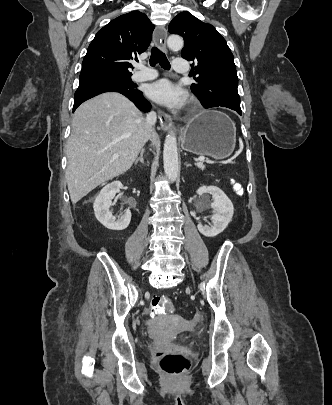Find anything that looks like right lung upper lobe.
Instances as JSON below:
<instances>
[{
	"instance_id": "cb5924a9",
	"label": "right lung upper lobe",
	"mask_w": 332,
	"mask_h": 405,
	"mask_svg": "<svg viewBox=\"0 0 332 405\" xmlns=\"http://www.w3.org/2000/svg\"><path fill=\"white\" fill-rule=\"evenodd\" d=\"M153 29L148 17L139 11L115 18L90 43L80 76L107 73L131 76L129 61L146 51Z\"/></svg>"
}]
</instances>
